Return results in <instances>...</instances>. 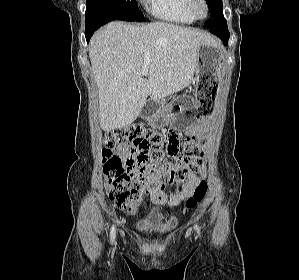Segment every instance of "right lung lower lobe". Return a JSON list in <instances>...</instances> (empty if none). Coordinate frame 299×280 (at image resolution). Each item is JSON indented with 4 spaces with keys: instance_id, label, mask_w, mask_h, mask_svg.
<instances>
[{
    "instance_id": "1",
    "label": "right lung lower lobe",
    "mask_w": 299,
    "mask_h": 280,
    "mask_svg": "<svg viewBox=\"0 0 299 280\" xmlns=\"http://www.w3.org/2000/svg\"><path fill=\"white\" fill-rule=\"evenodd\" d=\"M85 19L87 43H89L91 36L99 27L110 21L123 20L133 22L125 12L105 0H87Z\"/></svg>"
}]
</instances>
